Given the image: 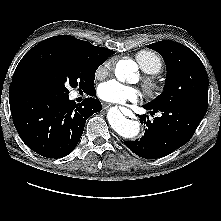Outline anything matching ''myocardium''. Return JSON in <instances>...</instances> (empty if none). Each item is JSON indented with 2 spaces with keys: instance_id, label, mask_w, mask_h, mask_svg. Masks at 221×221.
Here are the masks:
<instances>
[{
  "instance_id": "obj_1",
  "label": "myocardium",
  "mask_w": 221,
  "mask_h": 221,
  "mask_svg": "<svg viewBox=\"0 0 221 221\" xmlns=\"http://www.w3.org/2000/svg\"><path fill=\"white\" fill-rule=\"evenodd\" d=\"M143 83L144 86L147 90V92L150 94L152 97H156L157 95L160 94L161 92V85L159 82L152 76H146L143 78Z\"/></svg>"
}]
</instances>
